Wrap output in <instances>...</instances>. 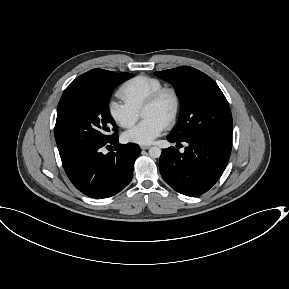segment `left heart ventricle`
I'll return each instance as SVG.
<instances>
[{
  "label": "left heart ventricle",
  "mask_w": 289,
  "mask_h": 289,
  "mask_svg": "<svg viewBox=\"0 0 289 289\" xmlns=\"http://www.w3.org/2000/svg\"><path fill=\"white\" fill-rule=\"evenodd\" d=\"M173 101L170 95H165L161 100L154 106L145 108L142 110L141 115L143 118L154 117L162 122L166 123L169 114L172 110Z\"/></svg>",
  "instance_id": "left-heart-ventricle-1"
}]
</instances>
